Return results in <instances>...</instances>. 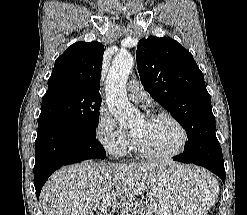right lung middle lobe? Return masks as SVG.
Returning <instances> with one entry per match:
<instances>
[{"label": "right lung middle lobe", "mask_w": 247, "mask_h": 215, "mask_svg": "<svg viewBox=\"0 0 247 215\" xmlns=\"http://www.w3.org/2000/svg\"><path fill=\"white\" fill-rule=\"evenodd\" d=\"M101 98L63 88L46 92L42 98L38 127L62 124L96 136Z\"/></svg>", "instance_id": "dd1d6c3e"}]
</instances>
